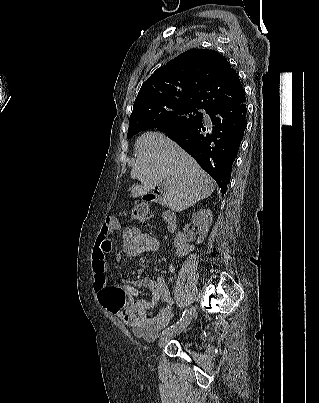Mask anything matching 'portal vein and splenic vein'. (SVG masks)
Wrapping results in <instances>:
<instances>
[{
    "label": "portal vein and splenic vein",
    "instance_id": "obj_1",
    "mask_svg": "<svg viewBox=\"0 0 319 403\" xmlns=\"http://www.w3.org/2000/svg\"><path fill=\"white\" fill-rule=\"evenodd\" d=\"M161 186L165 188V187H166V183H165V182L162 183Z\"/></svg>",
    "mask_w": 319,
    "mask_h": 403
}]
</instances>
